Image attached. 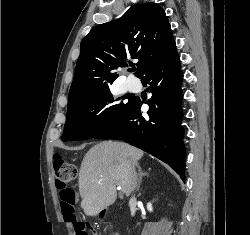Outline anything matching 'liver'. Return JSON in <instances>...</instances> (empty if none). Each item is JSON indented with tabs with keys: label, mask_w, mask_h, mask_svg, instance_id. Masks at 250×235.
I'll list each match as a JSON object with an SVG mask.
<instances>
[{
	"label": "liver",
	"mask_w": 250,
	"mask_h": 235,
	"mask_svg": "<svg viewBox=\"0 0 250 235\" xmlns=\"http://www.w3.org/2000/svg\"><path fill=\"white\" fill-rule=\"evenodd\" d=\"M143 152L122 142L104 141L85 155L79 172L81 206L88 216H96L112 205L116 186L128 196L131 193V170Z\"/></svg>",
	"instance_id": "obj_1"
}]
</instances>
